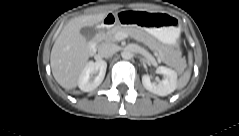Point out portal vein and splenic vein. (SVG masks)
Returning <instances> with one entry per match:
<instances>
[{
    "label": "portal vein and splenic vein",
    "mask_w": 239,
    "mask_h": 136,
    "mask_svg": "<svg viewBox=\"0 0 239 136\" xmlns=\"http://www.w3.org/2000/svg\"><path fill=\"white\" fill-rule=\"evenodd\" d=\"M127 37H128V35L125 34V33H118L116 35L117 40H122V39L127 38Z\"/></svg>",
    "instance_id": "obj_1"
}]
</instances>
